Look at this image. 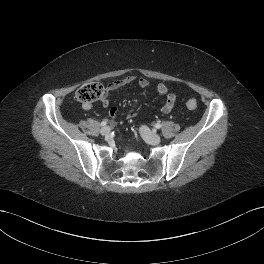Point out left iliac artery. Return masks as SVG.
I'll list each match as a JSON object with an SVG mask.
<instances>
[{
	"mask_svg": "<svg viewBox=\"0 0 264 264\" xmlns=\"http://www.w3.org/2000/svg\"><path fill=\"white\" fill-rule=\"evenodd\" d=\"M155 128H156V129L161 128V124H159V123L155 124Z\"/></svg>",
	"mask_w": 264,
	"mask_h": 264,
	"instance_id": "1",
	"label": "left iliac artery"
}]
</instances>
